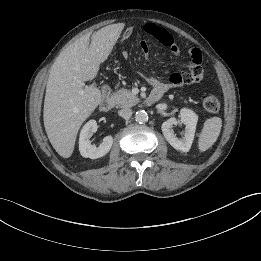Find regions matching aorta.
<instances>
[{
	"instance_id": "obj_1",
	"label": "aorta",
	"mask_w": 261,
	"mask_h": 261,
	"mask_svg": "<svg viewBox=\"0 0 261 261\" xmlns=\"http://www.w3.org/2000/svg\"><path fill=\"white\" fill-rule=\"evenodd\" d=\"M135 121L137 123H146L148 121V114L144 110L137 111L135 114Z\"/></svg>"
}]
</instances>
